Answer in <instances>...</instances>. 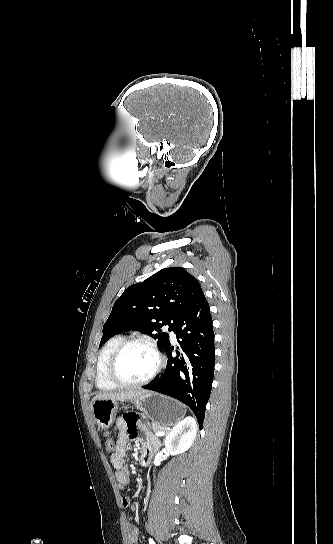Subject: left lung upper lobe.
Segmentation results:
<instances>
[{"instance_id": "obj_1", "label": "left lung upper lobe", "mask_w": 333, "mask_h": 544, "mask_svg": "<svg viewBox=\"0 0 333 544\" xmlns=\"http://www.w3.org/2000/svg\"><path fill=\"white\" fill-rule=\"evenodd\" d=\"M203 294L198 280L182 267L164 268L142 283L128 287L114 303L103 326V345L111 336L124 330H136L158 340L164 350L169 335L189 306Z\"/></svg>"}]
</instances>
